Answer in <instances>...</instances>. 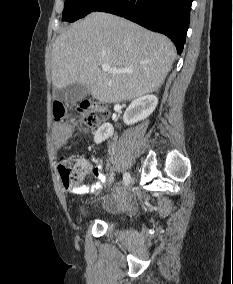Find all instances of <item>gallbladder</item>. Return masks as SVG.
Masks as SVG:
<instances>
[{
  "label": "gallbladder",
  "mask_w": 233,
  "mask_h": 284,
  "mask_svg": "<svg viewBox=\"0 0 233 284\" xmlns=\"http://www.w3.org/2000/svg\"><path fill=\"white\" fill-rule=\"evenodd\" d=\"M89 93L90 90L87 85L73 83L69 85L65 90L64 89L55 90L54 98L61 102L74 104L84 99L87 95H89Z\"/></svg>",
  "instance_id": "gallbladder-1"
}]
</instances>
